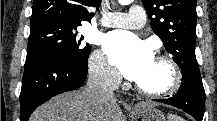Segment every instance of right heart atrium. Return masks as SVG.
<instances>
[{
  "label": "right heart atrium",
  "mask_w": 217,
  "mask_h": 121,
  "mask_svg": "<svg viewBox=\"0 0 217 121\" xmlns=\"http://www.w3.org/2000/svg\"><path fill=\"white\" fill-rule=\"evenodd\" d=\"M91 76L101 84L114 87L120 81L118 72L108 62L104 53L100 50L94 51L88 61Z\"/></svg>",
  "instance_id": "right-heart-atrium-1"
}]
</instances>
